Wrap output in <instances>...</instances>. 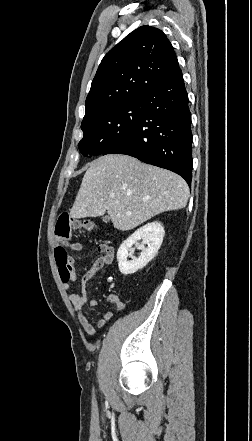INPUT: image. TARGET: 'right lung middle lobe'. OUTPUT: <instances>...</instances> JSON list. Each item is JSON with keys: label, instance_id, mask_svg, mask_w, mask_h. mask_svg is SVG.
Segmentation results:
<instances>
[{"label": "right lung middle lobe", "instance_id": "obj_1", "mask_svg": "<svg viewBox=\"0 0 252 441\" xmlns=\"http://www.w3.org/2000/svg\"><path fill=\"white\" fill-rule=\"evenodd\" d=\"M141 99L102 110L81 124L84 133L79 150L84 156L100 155L125 137L138 123L143 112Z\"/></svg>", "mask_w": 252, "mask_h": 441}]
</instances>
